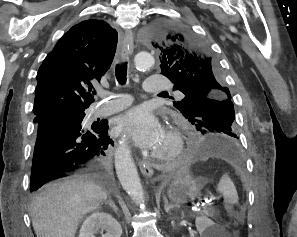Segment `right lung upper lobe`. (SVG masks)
I'll use <instances>...</instances> for the list:
<instances>
[{"label": "right lung upper lobe", "instance_id": "1", "mask_svg": "<svg viewBox=\"0 0 297 237\" xmlns=\"http://www.w3.org/2000/svg\"><path fill=\"white\" fill-rule=\"evenodd\" d=\"M117 32L102 20L73 26L55 45L37 73L34 121L51 112H84L93 100V85L108 70Z\"/></svg>", "mask_w": 297, "mask_h": 237}]
</instances>
